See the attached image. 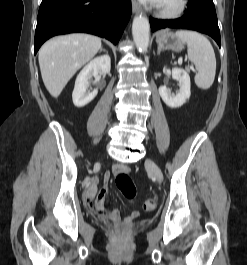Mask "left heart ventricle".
Here are the masks:
<instances>
[{"label": "left heart ventricle", "mask_w": 247, "mask_h": 265, "mask_svg": "<svg viewBox=\"0 0 247 265\" xmlns=\"http://www.w3.org/2000/svg\"><path fill=\"white\" fill-rule=\"evenodd\" d=\"M175 0H161L165 4H172Z\"/></svg>", "instance_id": "obj_1"}]
</instances>
